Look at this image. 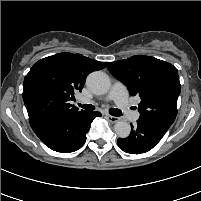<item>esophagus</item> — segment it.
Here are the masks:
<instances>
[{
    "instance_id": "obj_1",
    "label": "esophagus",
    "mask_w": 201,
    "mask_h": 201,
    "mask_svg": "<svg viewBox=\"0 0 201 201\" xmlns=\"http://www.w3.org/2000/svg\"><path fill=\"white\" fill-rule=\"evenodd\" d=\"M106 118L111 123H117L120 120L119 117H115V116H111V115H106Z\"/></svg>"
}]
</instances>
